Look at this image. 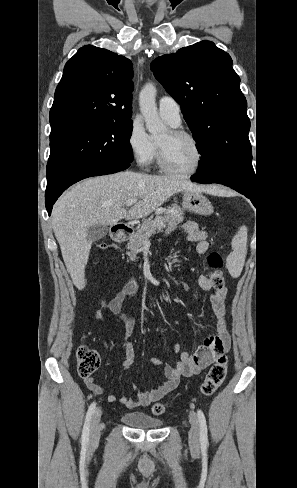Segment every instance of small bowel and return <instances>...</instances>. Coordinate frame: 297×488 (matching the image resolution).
Returning a JSON list of instances; mask_svg holds the SVG:
<instances>
[{
	"label": "small bowel",
	"instance_id": "small-bowel-1",
	"mask_svg": "<svg viewBox=\"0 0 297 488\" xmlns=\"http://www.w3.org/2000/svg\"><path fill=\"white\" fill-rule=\"evenodd\" d=\"M179 229L186 234L189 242L196 243V251L199 254H205L208 251L209 243L207 241V233L201 230L197 223L187 221ZM176 230V227L170 226L166 229L165 235H171ZM198 287L205 292H211L208 300L215 315L216 332L208 336L193 354L182 352L179 360L175 364L164 363L162 359L156 357L150 358L152 365H164V382L158 388L151 391H140L134 386L136 391L135 398L109 395L107 397L108 402H118L129 408L148 406L171 394L177 388L182 377H193L200 374L227 350L230 344V336L226 330L225 321L227 291L224 287L221 289L215 288L211 279L206 275H201L198 278ZM137 290L138 282L132 278L126 282L108 304V310L119 316L123 322L122 342L125 348V359L122 362V369L124 370L128 369L135 360V350L132 342L129 340V336L135 329L136 319L134 316L123 312V306L129 298L136 294ZM194 295H197L196 292ZM95 317L98 321H104L106 319L103 311H98ZM174 350L175 352L179 351L178 344L174 345ZM84 383L93 394L101 395L104 393V388L97 384L93 377L84 378Z\"/></svg>",
	"mask_w": 297,
	"mask_h": 488
}]
</instances>
